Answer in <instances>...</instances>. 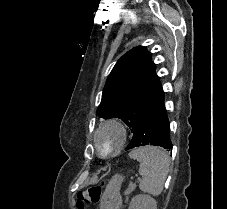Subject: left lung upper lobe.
Wrapping results in <instances>:
<instances>
[{"label":"left lung upper lobe","mask_w":227,"mask_h":209,"mask_svg":"<svg viewBox=\"0 0 227 209\" xmlns=\"http://www.w3.org/2000/svg\"><path fill=\"white\" fill-rule=\"evenodd\" d=\"M155 69L144 46L124 54L108 76L96 115L121 119L134 135L141 117L164 93Z\"/></svg>","instance_id":"1"}]
</instances>
